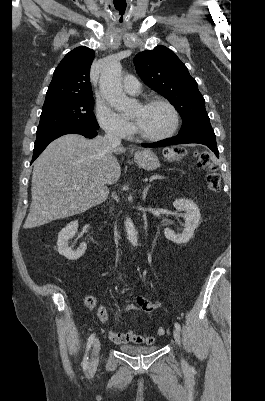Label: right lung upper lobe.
Here are the masks:
<instances>
[{
    "mask_svg": "<svg viewBox=\"0 0 265 401\" xmlns=\"http://www.w3.org/2000/svg\"><path fill=\"white\" fill-rule=\"evenodd\" d=\"M94 56L92 49L83 46L67 53L54 71L44 105L93 96L89 72Z\"/></svg>",
    "mask_w": 265,
    "mask_h": 401,
    "instance_id": "obj_1",
    "label": "right lung upper lobe"
}]
</instances>
